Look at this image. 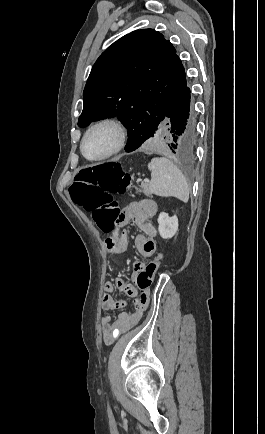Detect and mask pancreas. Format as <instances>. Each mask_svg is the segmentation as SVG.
<instances>
[{
	"label": "pancreas",
	"instance_id": "cf45deb5",
	"mask_svg": "<svg viewBox=\"0 0 265 434\" xmlns=\"http://www.w3.org/2000/svg\"><path fill=\"white\" fill-rule=\"evenodd\" d=\"M141 188H142L143 194H145V196H148V198H152V192H150V190H149V184H146V182H143V184H141Z\"/></svg>",
	"mask_w": 265,
	"mask_h": 434
}]
</instances>
